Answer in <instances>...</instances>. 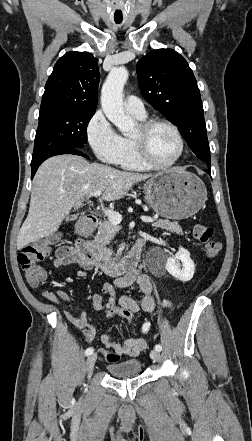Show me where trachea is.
<instances>
[{
  "mask_svg": "<svg viewBox=\"0 0 252 441\" xmlns=\"http://www.w3.org/2000/svg\"><path fill=\"white\" fill-rule=\"evenodd\" d=\"M116 23H118V24H119V23H121V21H116Z\"/></svg>",
  "mask_w": 252,
  "mask_h": 441,
  "instance_id": "obj_1",
  "label": "trachea"
}]
</instances>
